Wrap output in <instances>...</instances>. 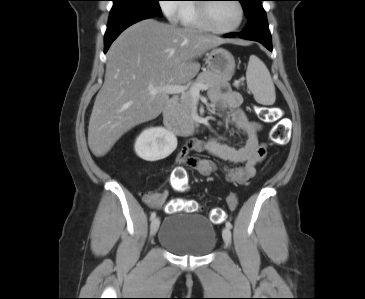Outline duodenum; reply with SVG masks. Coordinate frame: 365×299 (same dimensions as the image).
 Returning <instances> with one entry per match:
<instances>
[{"instance_id":"obj_1","label":"duodenum","mask_w":365,"mask_h":299,"mask_svg":"<svg viewBox=\"0 0 365 299\" xmlns=\"http://www.w3.org/2000/svg\"><path fill=\"white\" fill-rule=\"evenodd\" d=\"M177 105H178V97L177 96L170 97V99L163 108L162 112L163 124L171 132L180 136H185L197 130L198 125L195 122L186 124L177 122L175 119V111Z\"/></svg>"}]
</instances>
